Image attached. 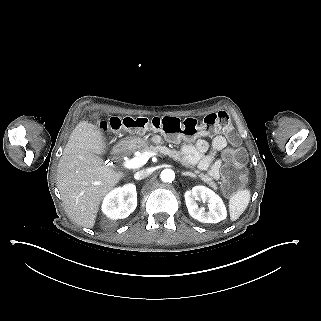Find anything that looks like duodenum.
<instances>
[{
	"label": "duodenum",
	"mask_w": 321,
	"mask_h": 321,
	"mask_svg": "<svg viewBox=\"0 0 321 321\" xmlns=\"http://www.w3.org/2000/svg\"><path fill=\"white\" fill-rule=\"evenodd\" d=\"M123 152V147L118 146L113 150V156L118 157Z\"/></svg>",
	"instance_id": "1"
}]
</instances>
